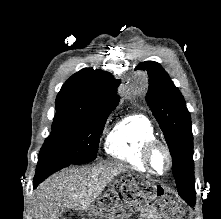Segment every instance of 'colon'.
<instances>
[{
  "label": "colon",
  "mask_w": 221,
  "mask_h": 219,
  "mask_svg": "<svg viewBox=\"0 0 221 219\" xmlns=\"http://www.w3.org/2000/svg\"><path fill=\"white\" fill-rule=\"evenodd\" d=\"M133 183L126 182L120 185H117L115 188V193L109 194L104 198V203H106V206L111 208L112 205L116 202L117 197L120 199H124L127 194L132 190ZM152 188H141L137 187V191L140 192L141 195V202L138 205V209H145L150 207L154 202L157 201V199H152ZM133 193V192H132ZM130 196V195H128ZM159 208L169 216H172L173 211L169 208L167 205L166 200H161L159 202Z\"/></svg>",
  "instance_id": "1"
}]
</instances>
